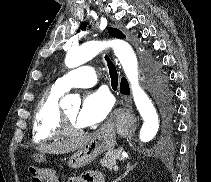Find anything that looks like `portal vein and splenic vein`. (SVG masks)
<instances>
[{
	"instance_id": "18ae733b",
	"label": "portal vein and splenic vein",
	"mask_w": 211,
	"mask_h": 182,
	"mask_svg": "<svg viewBox=\"0 0 211 182\" xmlns=\"http://www.w3.org/2000/svg\"><path fill=\"white\" fill-rule=\"evenodd\" d=\"M113 169H114V171H115V172H117V171H118V167H117V166H114V168H113Z\"/></svg>"
}]
</instances>
